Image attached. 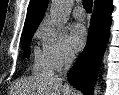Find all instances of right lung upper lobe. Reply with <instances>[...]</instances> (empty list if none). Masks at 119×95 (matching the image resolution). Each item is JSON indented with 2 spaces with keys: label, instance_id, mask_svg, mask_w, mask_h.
<instances>
[{
  "label": "right lung upper lobe",
  "instance_id": "cb5924a9",
  "mask_svg": "<svg viewBox=\"0 0 119 95\" xmlns=\"http://www.w3.org/2000/svg\"><path fill=\"white\" fill-rule=\"evenodd\" d=\"M107 1L109 0H95L94 6L100 5ZM47 4L48 0H30L23 33L37 29L38 25L42 21Z\"/></svg>",
  "mask_w": 119,
  "mask_h": 95
}]
</instances>
